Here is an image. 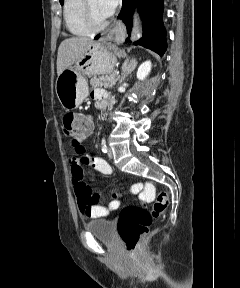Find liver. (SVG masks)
<instances>
[{
  "instance_id": "obj_1",
  "label": "liver",
  "mask_w": 240,
  "mask_h": 288,
  "mask_svg": "<svg viewBox=\"0 0 240 288\" xmlns=\"http://www.w3.org/2000/svg\"><path fill=\"white\" fill-rule=\"evenodd\" d=\"M92 43L93 39L88 37H71L62 41L57 55L58 76L80 59Z\"/></svg>"
}]
</instances>
